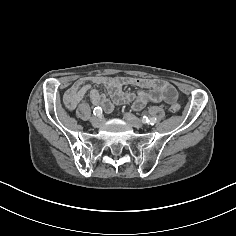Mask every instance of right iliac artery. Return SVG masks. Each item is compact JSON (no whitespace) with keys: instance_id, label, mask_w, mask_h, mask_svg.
Instances as JSON below:
<instances>
[{"instance_id":"1","label":"right iliac artery","mask_w":236,"mask_h":236,"mask_svg":"<svg viewBox=\"0 0 236 236\" xmlns=\"http://www.w3.org/2000/svg\"><path fill=\"white\" fill-rule=\"evenodd\" d=\"M93 114L95 116H101L102 115V109L100 107H95L94 110H93Z\"/></svg>"}]
</instances>
